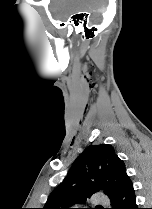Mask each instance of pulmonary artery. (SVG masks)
<instances>
[{
    "mask_svg": "<svg viewBox=\"0 0 152 209\" xmlns=\"http://www.w3.org/2000/svg\"><path fill=\"white\" fill-rule=\"evenodd\" d=\"M107 202L108 200L105 197L100 196L99 194H95L92 198V203L95 205H105L107 204Z\"/></svg>",
    "mask_w": 152,
    "mask_h": 209,
    "instance_id": "obj_1",
    "label": "pulmonary artery"
}]
</instances>
